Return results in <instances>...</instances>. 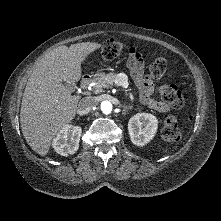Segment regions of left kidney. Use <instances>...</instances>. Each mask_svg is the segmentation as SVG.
<instances>
[{"instance_id": "1", "label": "left kidney", "mask_w": 221, "mask_h": 221, "mask_svg": "<svg viewBox=\"0 0 221 221\" xmlns=\"http://www.w3.org/2000/svg\"><path fill=\"white\" fill-rule=\"evenodd\" d=\"M157 128V118L148 113H138L128 122L130 139L137 146L147 144L155 136Z\"/></svg>"}]
</instances>
